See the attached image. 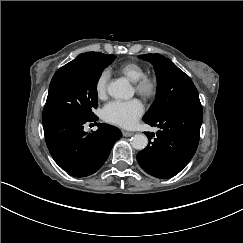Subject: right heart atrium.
Segmentation results:
<instances>
[{"label":"right heart atrium","instance_id":"d8ad5b80","mask_svg":"<svg viewBox=\"0 0 243 243\" xmlns=\"http://www.w3.org/2000/svg\"><path fill=\"white\" fill-rule=\"evenodd\" d=\"M111 77L109 69H103L96 77L94 82V91L98 99H104L107 96L108 82Z\"/></svg>","mask_w":243,"mask_h":243}]
</instances>
